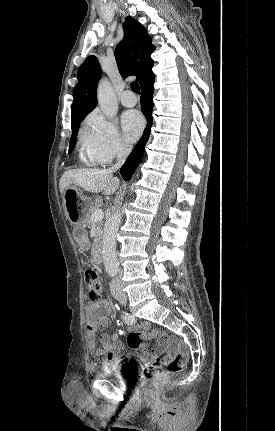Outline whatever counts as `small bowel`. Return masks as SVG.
<instances>
[{
  "mask_svg": "<svg viewBox=\"0 0 275 431\" xmlns=\"http://www.w3.org/2000/svg\"><path fill=\"white\" fill-rule=\"evenodd\" d=\"M74 237L82 249L88 247L87 235L82 230H75ZM86 311V341L88 351L95 356L97 365L106 366L116 363L122 358L123 343L117 335L101 334L100 345H97L96 333L99 326L107 325L109 322L110 305L107 300L89 302L85 306ZM140 330L149 328V324L144 322L137 326ZM164 342H159L152 354L144 353L140 356L142 361L159 362V354L163 351ZM176 347L170 344L171 352L176 351Z\"/></svg>",
  "mask_w": 275,
  "mask_h": 431,
  "instance_id": "obj_1",
  "label": "small bowel"
}]
</instances>
